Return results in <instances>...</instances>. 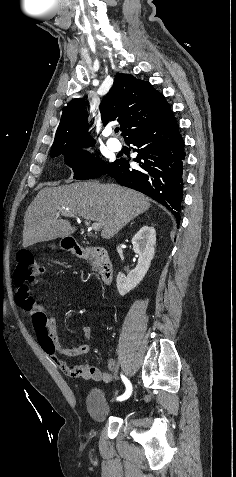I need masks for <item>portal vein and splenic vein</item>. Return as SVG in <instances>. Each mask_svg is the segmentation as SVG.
<instances>
[{
	"label": "portal vein and splenic vein",
	"instance_id": "18ae733b",
	"mask_svg": "<svg viewBox=\"0 0 236 477\" xmlns=\"http://www.w3.org/2000/svg\"><path fill=\"white\" fill-rule=\"evenodd\" d=\"M61 215H62V216H65V217L75 218V219L78 220V222H81L80 218H79L77 215L71 214V213H69V212L62 211V212H61ZM85 224H86L87 226H89V228L92 229V230H95V231L100 230V224H99V223H93V224L90 226V225H89V222L85 221Z\"/></svg>",
	"mask_w": 236,
	"mask_h": 477
}]
</instances>
